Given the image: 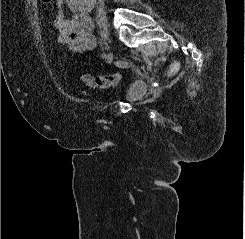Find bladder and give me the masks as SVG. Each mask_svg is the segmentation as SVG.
I'll use <instances>...</instances> for the list:
<instances>
[{"label": "bladder", "instance_id": "bladder-1", "mask_svg": "<svg viewBox=\"0 0 245 239\" xmlns=\"http://www.w3.org/2000/svg\"><path fill=\"white\" fill-rule=\"evenodd\" d=\"M148 91V85L142 83H135L128 86L125 90V100L129 103H138L141 101Z\"/></svg>", "mask_w": 245, "mask_h": 239}]
</instances>
